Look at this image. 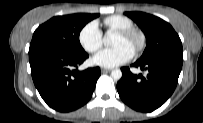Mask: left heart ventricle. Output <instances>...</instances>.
<instances>
[{"instance_id": "1", "label": "left heart ventricle", "mask_w": 203, "mask_h": 123, "mask_svg": "<svg viewBox=\"0 0 203 123\" xmlns=\"http://www.w3.org/2000/svg\"><path fill=\"white\" fill-rule=\"evenodd\" d=\"M136 39L135 38H125L123 36H120L118 34H115L113 39H112V46H125L128 49H130L131 51H134L135 46H136Z\"/></svg>"}]
</instances>
